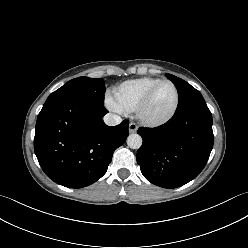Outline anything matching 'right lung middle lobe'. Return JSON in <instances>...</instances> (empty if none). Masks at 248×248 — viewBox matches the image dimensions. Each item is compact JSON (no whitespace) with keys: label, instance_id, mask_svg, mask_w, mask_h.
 Listing matches in <instances>:
<instances>
[{"label":"right lung middle lobe","instance_id":"right-lung-middle-lobe-1","mask_svg":"<svg viewBox=\"0 0 248 248\" xmlns=\"http://www.w3.org/2000/svg\"><path fill=\"white\" fill-rule=\"evenodd\" d=\"M105 83L101 78L78 77L68 81L61 88L54 91L47 100L78 95L88 97L97 103H104Z\"/></svg>","mask_w":248,"mask_h":248}]
</instances>
